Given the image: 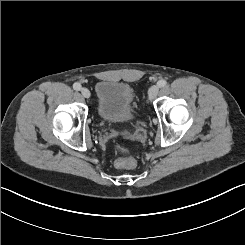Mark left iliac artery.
I'll return each mask as SVG.
<instances>
[{
	"label": "left iliac artery",
	"mask_w": 245,
	"mask_h": 245,
	"mask_svg": "<svg viewBox=\"0 0 245 245\" xmlns=\"http://www.w3.org/2000/svg\"><path fill=\"white\" fill-rule=\"evenodd\" d=\"M166 84H167V82H166L165 80H159V81L157 82V85H158L160 88L165 87Z\"/></svg>",
	"instance_id": "obj_1"
}]
</instances>
